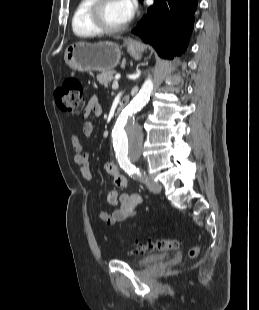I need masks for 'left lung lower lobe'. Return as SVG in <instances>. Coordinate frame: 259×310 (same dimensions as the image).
Listing matches in <instances>:
<instances>
[{
	"mask_svg": "<svg viewBox=\"0 0 259 310\" xmlns=\"http://www.w3.org/2000/svg\"><path fill=\"white\" fill-rule=\"evenodd\" d=\"M197 4L198 0H154L133 33L151 44L161 57L179 56L188 45Z\"/></svg>",
	"mask_w": 259,
	"mask_h": 310,
	"instance_id": "1",
	"label": "left lung lower lobe"
}]
</instances>
